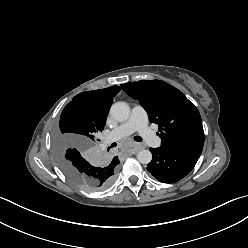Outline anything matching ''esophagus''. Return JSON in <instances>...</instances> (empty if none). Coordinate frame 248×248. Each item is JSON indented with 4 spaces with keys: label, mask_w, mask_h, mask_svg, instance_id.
Segmentation results:
<instances>
[{
    "label": "esophagus",
    "mask_w": 248,
    "mask_h": 248,
    "mask_svg": "<svg viewBox=\"0 0 248 248\" xmlns=\"http://www.w3.org/2000/svg\"><path fill=\"white\" fill-rule=\"evenodd\" d=\"M141 149H142V146L141 145H134L133 148H132V151L134 153H136V152H138Z\"/></svg>",
    "instance_id": "obj_1"
}]
</instances>
